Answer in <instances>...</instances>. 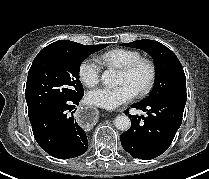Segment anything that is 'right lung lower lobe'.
Returning <instances> with one entry per match:
<instances>
[{
  "label": "right lung lower lobe",
  "mask_w": 209,
  "mask_h": 179,
  "mask_svg": "<svg viewBox=\"0 0 209 179\" xmlns=\"http://www.w3.org/2000/svg\"><path fill=\"white\" fill-rule=\"evenodd\" d=\"M82 97L54 103L30 118L37 143L49 155L68 159L80 156L88 149L84 130L74 120L73 112L72 116L68 115Z\"/></svg>",
  "instance_id": "right-lung-lower-lobe-1"
}]
</instances>
